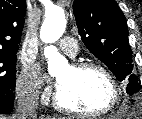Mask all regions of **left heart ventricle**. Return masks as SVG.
Segmentation results:
<instances>
[{
  "label": "left heart ventricle",
  "instance_id": "obj_1",
  "mask_svg": "<svg viewBox=\"0 0 142 119\" xmlns=\"http://www.w3.org/2000/svg\"><path fill=\"white\" fill-rule=\"evenodd\" d=\"M61 102L80 111H97L107 105L111 88L106 77L98 70L75 71L66 67L57 75Z\"/></svg>",
  "mask_w": 142,
  "mask_h": 119
}]
</instances>
